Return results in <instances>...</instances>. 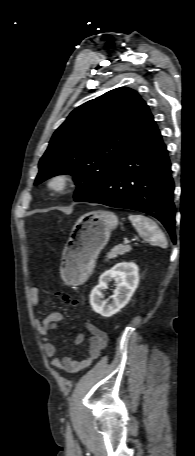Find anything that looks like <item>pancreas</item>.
I'll return each instance as SVG.
<instances>
[{
  "instance_id": "1",
  "label": "pancreas",
  "mask_w": 195,
  "mask_h": 456,
  "mask_svg": "<svg viewBox=\"0 0 195 456\" xmlns=\"http://www.w3.org/2000/svg\"><path fill=\"white\" fill-rule=\"evenodd\" d=\"M131 250V247L128 245H118L111 249L106 256V261H109L110 259H114L118 257V255H124L125 253L129 252Z\"/></svg>"
}]
</instances>
